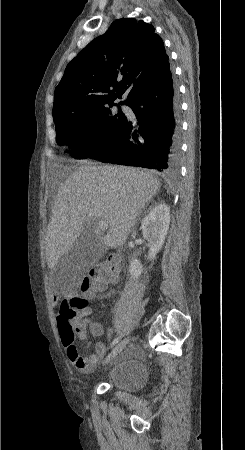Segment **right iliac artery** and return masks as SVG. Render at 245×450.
Returning <instances> with one entry per match:
<instances>
[{
  "mask_svg": "<svg viewBox=\"0 0 245 450\" xmlns=\"http://www.w3.org/2000/svg\"><path fill=\"white\" fill-rule=\"evenodd\" d=\"M120 339H121L120 336L117 337V338H115V339L113 340V342L111 343L110 347H113L114 345H116V344L119 342Z\"/></svg>",
  "mask_w": 245,
  "mask_h": 450,
  "instance_id": "1",
  "label": "right iliac artery"
}]
</instances>
